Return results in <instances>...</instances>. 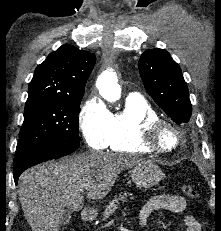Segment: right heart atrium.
I'll return each instance as SVG.
<instances>
[{"mask_svg":"<svg viewBox=\"0 0 221 231\" xmlns=\"http://www.w3.org/2000/svg\"><path fill=\"white\" fill-rule=\"evenodd\" d=\"M112 113L96 96L89 97L81 107L79 126L87 145L95 150L105 148L108 141Z\"/></svg>","mask_w":221,"mask_h":231,"instance_id":"1","label":"right heart atrium"}]
</instances>
